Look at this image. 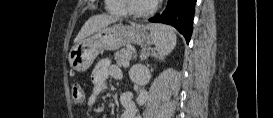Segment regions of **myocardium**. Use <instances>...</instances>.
Masks as SVG:
<instances>
[{"instance_id": "myocardium-1", "label": "myocardium", "mask_w": 273, "mask_h": 118, "mask_svg": "<svg viewBox=\"0 0 273 118\" xmlns=\"http://www.w3.org/2000/svg\"><path fill=\"white\" fill-rule=\"evenodd\" d=\"M125 3L127 13L135 17H147L153 14L156 10V5L154 3H151L149 8L143 11H138L133 8V0H125Z\"/></svg>"}]
</instances>
